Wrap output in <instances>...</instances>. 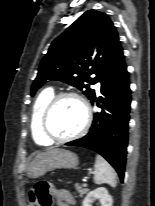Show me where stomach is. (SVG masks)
I'll list each match as a JSON object with an SVG mask.
<instances>
[{
    "label": "stomach",
    "instance_id": "obj_1",
    "mask_svg": "<svg viewBox=\"0 0 155 206\" xmlns=\"http://www.w3.org/2000/svg\"><path fill=\"white\" fill-rule=\"evenodd\" d=\"M79 165L77 155L65 149H50L38 154L30 164L27 175L39 178L55 169H76Z\"/></svg>",
    "mask_w": 155,
    "mask_h": 206
}]
</instances>
